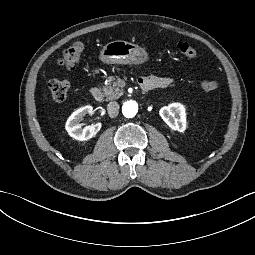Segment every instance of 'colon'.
Listing matches in <instances>:
<instances>
[{
  "instance_id": "5ec220e1",
  "label": "colon",
  "mask_w": 255,
  "mask_h": 255,
  "mask_svg": "<svg viewBox=\"0 0 255 255\" xmlns=\"http://www.w3.org/2000/svg\"><path fill=\"white\" fill-rule=\"evenodd\" d=\"M177 48L181 54L187 58H194L197 55V50L192 45L186 42H180ZM84 51V44L82 42H75L66 49L63 50L60 58L58 59V64L68 71L73 70L78 64L82 53ZM71 84L68 79H53L49 82V90L51 99L55 102H62L66 99ZM201 87L205 91H211L218 87L216 81H204Z\"/></svg>"
}]
</instances>
